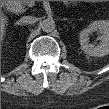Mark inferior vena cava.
Here are the masks:
<instances>
[{"instance_id": "1", "label": "inferior vena cava", "mask_w": 109, "mask_h": 109, "mask_svg": "<svg viewBox=\"0 0 109 109\" xmlns=\"http://www.w3.org/2000/svg\"><path fill=\"white\" fill-rule=\"evenodd\" d=\"M35 22V18L32 16H24L20 19L21 24H33Z\"/></svg>"}]
</instances>
